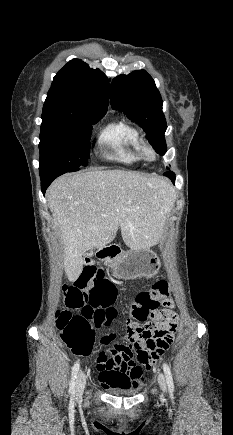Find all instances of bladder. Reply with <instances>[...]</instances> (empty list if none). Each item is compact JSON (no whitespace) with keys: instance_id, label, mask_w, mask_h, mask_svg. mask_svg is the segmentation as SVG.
<instances>
[{"instance_id":"1","label":"bladder","mask_w":233,"mask_h":435,"mask_svg":"<svg viewBox=\"0 0 233 435\" xmlns=\"http://www.w3.org/2000/svg\"><path fill=\"white\" fill-rule=\"evenodd\" d=\"M142 389V384H133L132 389L128 391H121L118 392V394L126 395V396H134L136 393H138Z\"/></svg>"}]
</instances>
